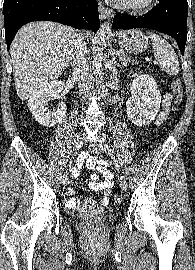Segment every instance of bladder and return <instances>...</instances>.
<instances>
[{
    "instance_id": "bladder-1",
    "label": "bladder",
    "mask_w": 195,
    "mask_h": 270,
    "mask_svg": "<svg viewBox=\"0 0 195 270\" xmlns=\"http://www.w3.org/2000/svg\"><path fill=\"white\" fill-rule=\"evenodd\" d=\"M103 215H104L105 217H109V216H110V215L107 214V213H103Z\"/></svg>"
}]
</instances>
